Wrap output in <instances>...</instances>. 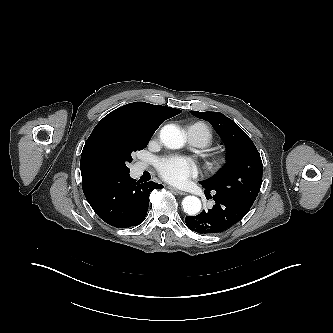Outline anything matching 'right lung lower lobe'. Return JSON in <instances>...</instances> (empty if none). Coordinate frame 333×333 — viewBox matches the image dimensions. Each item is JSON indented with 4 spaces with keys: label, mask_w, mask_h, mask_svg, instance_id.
<instances>
[{
    "label": "right lung lower lobe",
    "mask_w": 333,
    "mask_h": 333,
    "mask_svg": "<svg viewBox=\"0 0 333 333\" xmlns=\"http://www.w3.org/2000/svg\"><path fill=\"white\" fill-rule=\"evenodd\" d=\"M94 212L106 223L126 228L140 224L148 211V197L163 185L155 182L140 184L129 174L100 176L82 185Z\"/></svg>",
    "instance_id": "obj_1"
}]
</instances>
